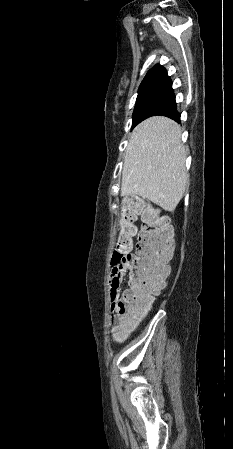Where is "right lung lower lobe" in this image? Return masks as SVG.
Masks as SVG:
<instances>
[{"label":"right lung lower lobe","mask_w":233,"mask_h":449,"mask_svg":"<svg viewBox=\"0 0 233 449\" xmlns=\"http://www.w3.org/2000/svg\"><path fill=\"white\" fill-rule=\"evenodd\" d=\"M156 115L166 116L177 122H180V113L177 111L176 105L169 107L168 109H165Z\"/></svg>","instance_id":"obj_1"}]
</instances>
